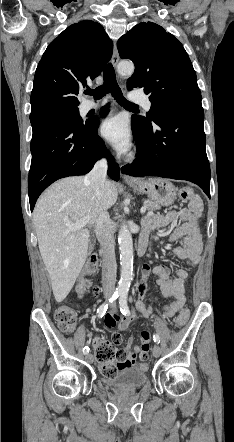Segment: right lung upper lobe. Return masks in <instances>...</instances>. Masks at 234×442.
<instances>
[{"instance_id": "cb5924a9", "label": "right lung upper lobe", "mask_w": 234, "mask_h": 442, "mask_svg": "<svg viewBox=\"0 0 234 442\" xmlns=\"http://www.w3.org/2000/svg\"><path fill=\"white\" fill-rule=\"evenodd\" d=\"M113 52L104 28L91 20L66 28L45 50L35 72L31 115L76 107L77 95L102 72Z\"/></svg>"}]
</instances>
